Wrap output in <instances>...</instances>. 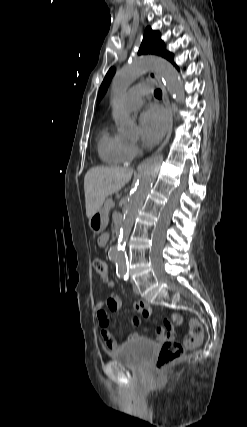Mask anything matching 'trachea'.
<instances>
[{
  "instance_id": "3493384b",
  "label": "trachea",
  "mask_w": 247,
  "mask_h": 427,
  "mask_svg": "<svg viewBox=\"0 0 247 427\" xmlns=\"http://www.w3.org/2000/svg\"><path fill=\"white\" fill-rule=\"evenodd\" d=\"M155 97H162V91L160 89H157L154 91Z\"/></svg>"
}]
</instances>
